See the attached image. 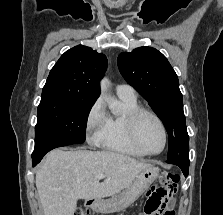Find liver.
<instances>
[{
  "mask_svg": "<svg viewBox=\"0 0 223 215\" xmlns=\"http://www.w3.org/2000/svg\"><path fill=\"white\" fill-rule=\"evenodd\" d=\"M151 163L116 151L53 149L36 171V187L45 215H74L78 199H101L130 187ZM106 175L104 181L96 177Z\"/></svg>",
  "mask_w": 223,
  "mask_h": 215,
  "instance_id": "obj_1",
  "label": "liver"
}]
</instances>
